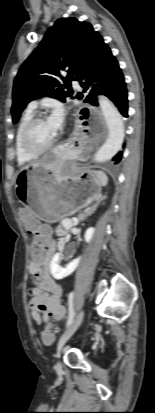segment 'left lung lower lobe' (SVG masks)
<instances>
[{
    "label": "left lung lower lobe",
    "mask_w": 155,
    "mask_h": 413,
    "mask_svg": "<svg viewBox=\"0 0 155 413\" xmlns=\"http://www.w3.org/2000/svg\"><path fill=\"white\" fill-rule=\"evenodd\" d=\"M80 84L84 88V91L88 92L84 102L97 106V98L95 95L99 94L97 90H101L100 94L109 97L124 117L128 116L127 89L124 76L116 58L112 55L107 45L89 71L81 79ZM122 155L123 151H119L113 157L112 160L115 161V164L121 161Z\"/></svg>",
    "instance_id": "obj_1"
}]
</instances>
